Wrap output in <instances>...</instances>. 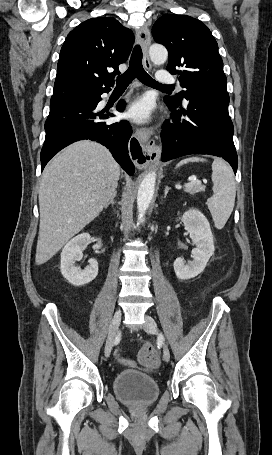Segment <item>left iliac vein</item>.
Masks as SVG:
<instances>
[{"instance_id": "1", "label": "left iliac vein", "mask_w": 272, "mask_h": 455, "mask_svg": "<svg viewBox=\"0 0 272 455\" xmlns=\"http://www.w3.org/2000/svg\"><path fill=\"white\" fill-rule=\"evenodd\" d=\"M144 330L148 333L158 334V328H157L156 322L154 321V319L152 317L147 316V315L145 316ZM163 358L166 362H168L170 360V351L164 340H163Z\"/></svg>"}]
</instances>
